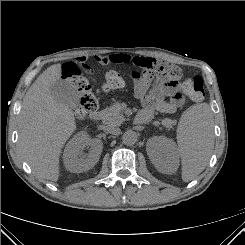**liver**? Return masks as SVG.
<instances>
[{
  "label": "liver",
  "mask_w": 245,
  "mask_h": 245,
  "mask_svg": "<svg viewBox=\"0 0 245 245\" xmlns=\"http://www.w3.org/2000/svg\"><path fill=\"white\" fill-rule=\"evenodd\" d=\"M62 65L47 68L23 98L19 119V151L42 179L59 178L61 150L76 130L73 111L55 99L50 87L61 78Z\"/></svg>",
  "instance_id": "obj_1"
}]
</instances>
